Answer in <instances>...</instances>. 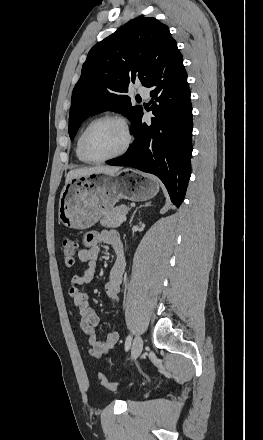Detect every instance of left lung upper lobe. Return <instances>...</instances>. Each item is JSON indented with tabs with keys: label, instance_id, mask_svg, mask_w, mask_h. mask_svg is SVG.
<instances>
[{
	"label": "left lung upper lobe",
	"instance_id": "5c2ea615",
	"mask_svg": "<svg viewBox=\"0 0 263 440\" xmlns=\"http://www.w3.org/2000/svg\"><path fill=\"white\" fill-rule=\"evenodd\" d=\"M166 25L152 17H137L89 51L72 92L69 135L91 115L115 111L132 123L142 112L126 95L130 82L149 85L177 50Z\"/></svg>",
	"mask_w": 263,
	"mask_h": 440
}]
</instances>
